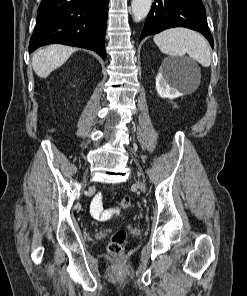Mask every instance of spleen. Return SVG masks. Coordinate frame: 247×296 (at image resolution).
<instances>
[{
    "label": "spleen",
    "mask_w": 247,
    "mask_h": 296,
    "mask_svg": "<svg viewBox=\"0 0 247 296\" xmlns=\"http://www.w3.org/2000/svg\"><path fill=\"white\" fill-rule=\"evenodd\" d=\"M161 52L172 57L186 53L203 67L210 66L211 52L206 39L199 33L185 28L167 29L153 38Z\"/></svg>",
    "instance_id": "3e777b00"
}]
</instances>
